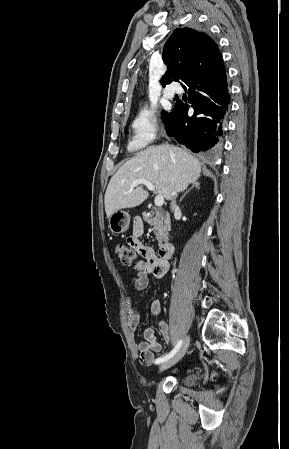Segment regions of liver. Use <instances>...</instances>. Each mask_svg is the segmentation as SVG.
<instances>
[{
	"label": "liver",
	"instance_id": "liver-1",
	"mask_svg": "<svg viewBox=\"0 0 289 449\" xmlns=\"http://www.w3.org/2000/svg\"><path fill=\"white\" fill-rule=\"evenodd\" d=\"M201 166L187 150L160 145L137 153L124 163L111 178L105 193V212L109 218L124 208L142 204L148 192L142 186L131 190L136 179H146L155 186V193L172 200L178 192L200 177Z\"/></svg>",
	"mask_w": 289,
	"mask_h": 449
}]
</instances>
